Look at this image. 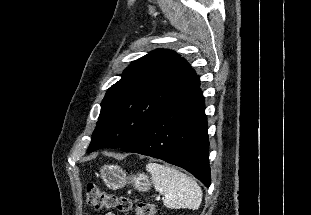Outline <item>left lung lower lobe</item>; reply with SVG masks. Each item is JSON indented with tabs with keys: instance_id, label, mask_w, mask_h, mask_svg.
<instances>
[{
	"instance_id": "obj_1",
	"label": "left lung lower lobe",
	"mask_w": 311,
	"mask_h": 215,
	"mask_svg": "<svg viewBox=\"0 0 311 215\" xmlns=\"http://www.w3.org/2000/svg\"><path fill=\"white\" fill-rule=\"evenodd\" d=\"M199 76L164 105L126 146L135 152L179 166L211 184L207 119Z\"/></svg>"
}]
</instances>
